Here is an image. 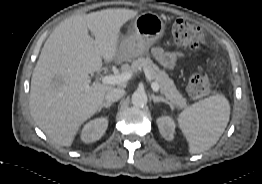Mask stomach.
<instances>
[{
    "label": "stomach",
    "instance_id": "0dacf381",
    "mask_svg": "<svg viewBox=\"0 0 262 184\" xmlns=\"http://www.w3.org/2000/svg\"><path fill=\"white\" fill-rule=\"evenodd\" d=\"M165 29L163 18L156 13L145 12L136 16L130 27V35L119 45V55L125 59L147 55Z\"/></svg>",
    "mask_w": 262,
    "mask_h": 184
}]
</instances>
